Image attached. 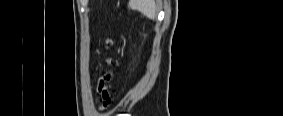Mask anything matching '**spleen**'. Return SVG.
<instances>
[{
  "label": "spleen",
  "mask_w": 283,
  "mask_h": 116,
  "mask_svg": "<svg viewBox=\"0 0 283 116\" xmlns=\"http://www.w3.org/2000/svg\"><path fill=\"white\" fill-rule=\"evenodd\" d=\"M129 7L137 10L149 19H156V5L153 0H131Z\"/></svg>",
  "instance_id": "1"
}]
</instances>
